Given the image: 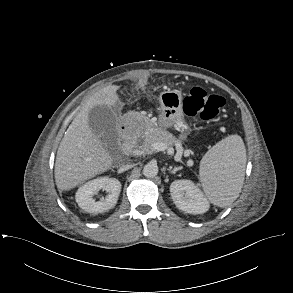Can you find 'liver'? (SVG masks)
<instances>
[{
  "label": "liver",
  "mask_w": 293,
  "mask_h": 293,
  "mask_svg": "<svg viewBox=\"0 0 293 293\" xmlns=\"http://www.w3.org/2000/svg\"><path fill=\"white\" fill-rule=\"evenodd\" d=\"M119 86L109 85L96 92L74 118L62 138L55 162L59 191L75 188L85 180L107 171L113 159L89 126V112L97 105L114 106Z\"/></svg>",
  "instance_id": "1"
}]
</instances>
